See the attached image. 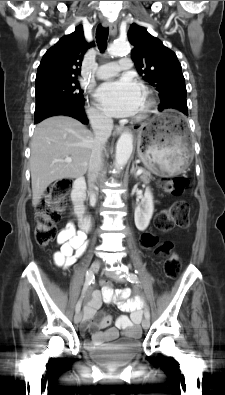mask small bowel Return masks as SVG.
<instances>
[{"instance_id":"obj_1","label":"small bowel","mask_w":225,"mask_h":395,"mask_svg":"<svg viewBox=\"0 0 225 395\" xmlns=\"http://www.w3.org/2000/svg\"><path fill=\"white\" fill-rule=\"evenodd\" d=\"M57 243L59 250L54 254L55 263L61 267L72 266L86 250L87 242L84 232H75L72 226H67L58 236ZM130 291L122 289L117 292L111 285H102L101 292H94L90 300L86 303L83 312L82 329H94L92 342L95 345L116 339L119 332L131 338H138L141 335L139 322L142 316V301L139 297L130 298ZM116 302L120 310L128 312L129 315H121L116 319L115 327L109 328L111 316L100 313L102 302Z\"/></svg>"}]
</instances>
